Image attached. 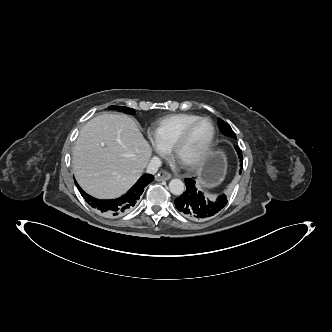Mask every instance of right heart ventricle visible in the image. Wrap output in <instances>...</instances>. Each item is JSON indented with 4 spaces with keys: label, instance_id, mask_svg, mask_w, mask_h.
Returning <instances> with one entry per match:
<instances>
[{
    "label": "right heart ventricle",
    "instance_id": "right-heart-ventricle-1",
    "mask_svg": "<svg viewBox=\"0 0 332 332\" xmlns=\"http://www.w3.org/2000/svg\"><path fill=\"white\" fill-rule=\"evenodd\" d=\"M195 114H174L159 120L151 130L153 137L166 149H171L182 130L193 120Z\"/></svg>",
    "mask_w": 332,
    "mask_h": 332
}]
</instances>
